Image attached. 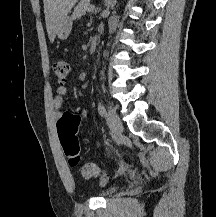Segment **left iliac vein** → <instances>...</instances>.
<instances>
[{
  "mask_svg": "<svg viewBox=\"0 0 216 217\" xmlns=\"http://www.w3.org/2000/svg\"><path fill=\"white\" fill-rule=\"evenodd\" d=\"M107 123L114 136H119L123 132V124L113 109H109L107 114Z\"/></svg>",
  "mask_w": 216,
  "mask_h": 217,
  "instance_id": "1",
  "label": "left iliac vein"
}]
</instances>
